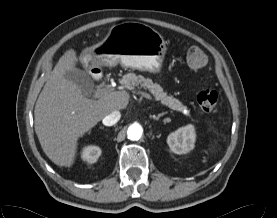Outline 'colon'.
<instances>
[{"mask_svg":"<svg viewBox=\"0 0 277 218\" xmlns=\"http://www.w3.org/2000/svg\"><path fill=\"white\" fill-rule=\"evenodd\" d=\"M206 63L207 56L201 48L197 46L189 48L186 54V64L190 69H202ZM197 101L203 111L212 113L217 108L218 94L214 90L204 89L198 93Z\"/></svg>","mask_w":277,"mask_h":218,"instance_id":"obj_1","label":"colon"}]
</instances>
